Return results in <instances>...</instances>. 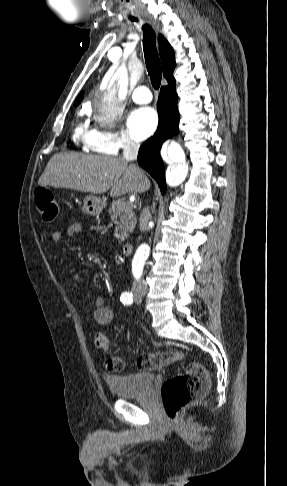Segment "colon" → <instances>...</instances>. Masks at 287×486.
Returning a JSON list of instances; mask_svg holds the SVG:
<instances>
[{"instance_id": "obj_1", "label": "colon", "mask_w": 287, "mask_h": 486, "mask_svg": "<svg viewBox=\"0 0 287 486\" xmlns=\"http://www.w3.org/2000/svg\"><path fill=\"white\" fill-rule=\"evenodd\" d=\"M37 210L44 221L52 222L59 214L58 202L53 192L46 187H38L34 192ZM95 347L103 352L109 350V339L101 332L94 338ZM186 359V355L175 350L158 351L142 354L136 359L139 370H158L167 365ZM105 368L112 372L124 368L122 358L109 356L104 362ZM209 388V376L205 368L199 363H190L186 370L168 378L162 385L161 396L166 416L176 422L181 409L204 395Z\"/></svg>"}]
</instances>
